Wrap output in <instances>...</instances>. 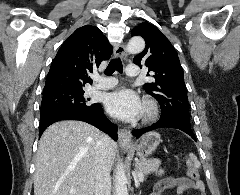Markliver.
Listing matches in <instances>:
<instances>
[{"mask_svg":"<svg viewBox=\"0 0 240 195\" xmlns=\"http://www.w3.org/2000/svg\"><path fill=\"white\" fill-rule=\"evenodd\" d=\"M103 133L85 121H57L42 133L37 149L34 195H93L96 145ZM117 143L108 145L110 167ZM75 189V193H69Z\"/></svg>","mask_w":240,"mask_h":195,"instance_id":"liver-1","label":"liver"}]
</instances>
